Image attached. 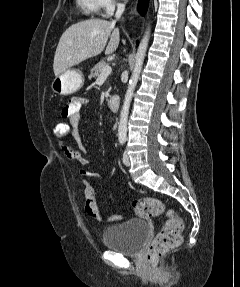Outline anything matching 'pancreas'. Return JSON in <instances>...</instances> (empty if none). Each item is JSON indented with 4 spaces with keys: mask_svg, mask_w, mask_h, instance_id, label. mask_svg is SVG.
Returning <instances> with one entry per match:
<instances>
[{
    "mask_svg": "<svg viewBox=\"0 0 240 287\" xmlns=\"http://www.w3.org/2000/svg\"><path fill=\"white\" fill-rule=\"evenodd\" d=\"M106 65H108V63H107L106 61H100L99 63H97V64L93 67V69L91 70V74L89 75V79H91V78H93V77H94V78H97V77L101 74L103 68H104Z\"/></svg>",
    "mask_w": 240,
    "mask_h": 287,
    "instance_id": "cf45deb5",
    "label": "pancreas"
}]
</instances>
